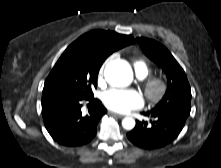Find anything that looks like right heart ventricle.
Returning <instances> with one entry per match:
<instances>
[{
	"mask_svg": "<svg viewBox=\"0 0 221 168\" xmlns=\"http://www.w3.org/2000/svg\"><path fill=\"white\" fill-rule=\"evenodd\" d=\"M133 66L137 77L145 78L151 72L150 66L142 59H136L133 61Z\"/></svg>",
	"mask_w": 221,
	"mask_h": 168,
	"instance_id": "right-heart-ventricle-1",
	"label": "right heart ventricle"
}]
</instances>
